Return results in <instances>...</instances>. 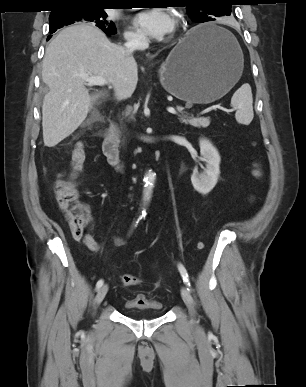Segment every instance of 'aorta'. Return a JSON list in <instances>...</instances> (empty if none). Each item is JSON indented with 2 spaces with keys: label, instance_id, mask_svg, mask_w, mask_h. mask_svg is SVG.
<instances>
[{
  "label": "aorta",
  "instance_id": "aorta-1",
  "mask_svg": "<svg viewBox=\"0 0 306 387\" xmlns=\"http://www.w3.org/2000/svg\"><path fill=\"white\" fill-rule=\"evenodd\" d=\"M155 182V174L153 172H148L144 177V190H143V201L147 203L152 195V190Z\"/></svg>",
  "mask_w": 306,
  "mask_h": 387
}]
</instances>
